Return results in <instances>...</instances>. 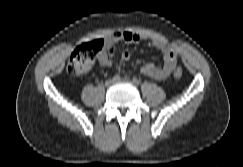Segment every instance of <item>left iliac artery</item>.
Segmentation results:
<instances>
[{"label": "left iliac artery", "mask_w": 243, "mask_h": 167, "mask_svg": "<svg viewBox=\"0 0 243 167\" xmlns=\"http://www.w3.org/2000/svg\"><path fill=\"white\" fill-rule=\"evenodd\" d=\"M133 82H134V84H136V85H139V84H140V80H138L137 78H134V79H133Z\"/></svg>", "instance_id": "44dca946"}]
</instances>
